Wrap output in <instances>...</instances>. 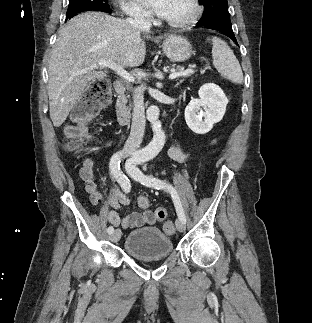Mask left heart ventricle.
I'll use <instances>...</instances> for the list:
<instances>
[{
  "instance_id": "obj_1",
  "label": "left heart ventricle",
  "mask_w": 312,
  "mask_h": 323,
  "mask_svg": "<svg viewBox=\"0 0 312 323\" xmlns=\"http://www.w3.org/2000/svg\"><path fill=\"white\" fill-rule=\"evenodd\" d=\"M167 9L170 18H181L182 14H193V2L190 0H168Z\"/></svg>"
}]
</instances>
